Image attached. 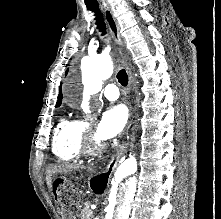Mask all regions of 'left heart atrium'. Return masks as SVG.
Returning <instances> with one entry per match:
<instances>
[{
  "label": "left heart atrium",
  "instance_id": "left-heart-atrium-1",
  "mask_svg": "<svg viewBox=\"0 0 221 219\" xmlns=\"http://www.w3.org/2000/svg\"><path fill=\"white\" fill-rule=\"evenodd\" d=\"M128 121V111L125 106L109 107L102 115L97 126L96 135L99 139L109 141L116 138Z\"/></svg>",
  "mask_w": 221,
  "mask_h": 219
}]
</instances>
